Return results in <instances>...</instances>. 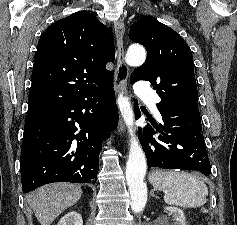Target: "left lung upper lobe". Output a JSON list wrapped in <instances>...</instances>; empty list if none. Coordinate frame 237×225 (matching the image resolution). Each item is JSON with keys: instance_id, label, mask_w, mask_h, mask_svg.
Here are the masks:
<instances>
[{"instance_id": "obj_1", "label": "left lung upper lobe", "mask_w": 237, "mask_h": 225, "mask_svg": "<svg viewBox=\"0 0 237 225\" xmlns=\"http://www.w3.org/2000/svg\"><path fill=\"white\" fill-rule=\"evenodd\" d=\"M129 38L148 52L145 63L132 72L131 83L149 81L161 98L158 109L198 104L192 53L178 33L145 16L131 26Z\"/></svg>"}]
</instances>
